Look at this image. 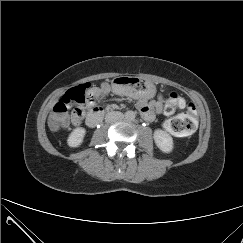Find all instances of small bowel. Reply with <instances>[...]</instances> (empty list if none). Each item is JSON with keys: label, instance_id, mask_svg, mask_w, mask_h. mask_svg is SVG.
Listing matches in <instances>:
<instances>
[{"label": "small bowel", "instance_id": "obj_1", "mask_svg": "<svg viewBox=\"0 0 243 243\" xmlns=\"http://www.w3.org/2000/svg\"><path fill=\"white\" fill-rule=\"evenodd\" d=\"M109 92V87L106 84L101 85L100 87L93 88L94 99L88 104V106H93L95 100L106 95ZM138 109L141 113V116L146 121H153L156 114L160 113L162 110V101L158 100H147L145 98H140L137 103ZM73 124L78 125L80 120L73 118Z\"/></svg>", "mask_w": 243, "mask_h": 243}]
</instances>
